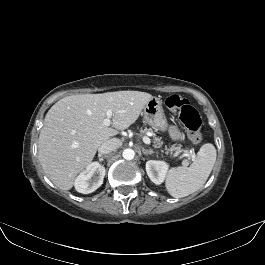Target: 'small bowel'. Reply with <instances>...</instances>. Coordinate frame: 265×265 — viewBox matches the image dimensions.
I'll use <instances>...</instances> for the list:
<instances>
[{"label":"small bowel","instance_id":"obj_1","mask_svg":"<svg viewBox=\"0 0 265 265\" xmlns=\"http://www.w3.org/2000/svg\"><path fill=\"white\" fill-rule=\"evenodd\" d=\"M170 134H171V136H172L174 139H178L179 136H180L179 131H178L177 128L174 127V126H172V127L170 128Z\"/></svg>","mask_w":265,"mask_h":265}]
</instances>
